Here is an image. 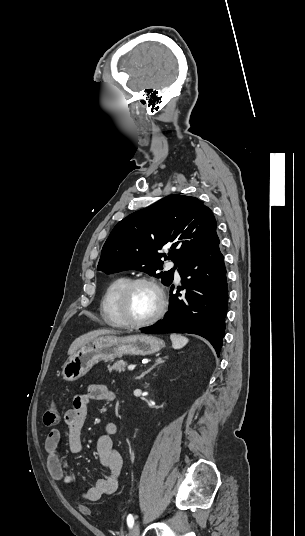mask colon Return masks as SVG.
Segmentation results:
<instances>
[{"label": "colon", "mask_w": 305, "mask_h": 536, "mask_svg": "<svg viewBox=\"0 0 305 536\" xmlns=\"http://www.w3.org/2000/svg\"><path fill=\"white\" fill-rule=\"evenodd\" d=\"M59 408L56 403H50L44 412L43 425L45 427H53L58 423ZM79 510L84 512L85 517L90 518L93 515L92 510L89 509L87 503H81Z\"/></svg>", "instance_id": "1"}]
</instances>
